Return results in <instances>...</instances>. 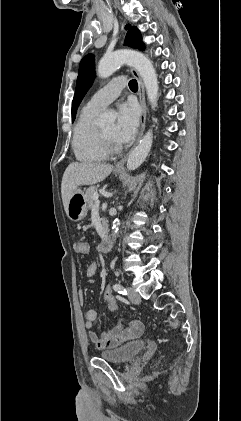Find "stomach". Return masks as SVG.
Returning a JSON list of instances; mask_svg holds the SVG:
<instances>
[{"label":"stomach","mask_w":241,"mask_h":421,"mask_svg":"<svg viewBox=\"0 0 241 421\" xmlns=\"http://www.w3.org/2000/svg\"><path fill=\"white\" fill-rule=\"evenodd\" d=\"M117 173L122 170L116 169ZM88 207L85 201V193L83 190L77 188L69 199L67 207V216L71 221H80L87 215Z\"/></svg>","instance_id":"1"}]
</instances>
